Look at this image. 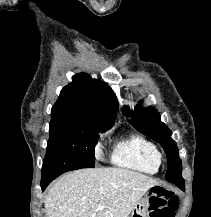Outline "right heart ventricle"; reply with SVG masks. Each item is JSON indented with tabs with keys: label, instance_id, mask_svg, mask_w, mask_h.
Here are the masks:
<instances>
[{
	"label": "right heart ventricle",
	"instance_id": "e07e8e85",
	"mask_svg": "<svg viewBox=\"0 0 211 217\" xmlns=\"http://www.w3.org/2000/svg\"><path fill=\"white\" fill-rule=\"evenodd\" d=\"M111 158L117 166L146 174H155L160 165L157 146L139 134L130 135L119 141L113 149Z\"/></svg>",
	"mask_w": 211,
	"mask_h": 217
}]
</instances>
